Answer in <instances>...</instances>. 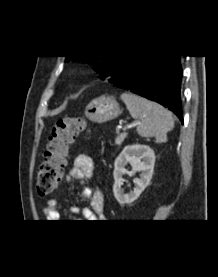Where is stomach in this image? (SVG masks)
I'll return each mask as SVG.
<instances>
[{
  "label": "stomach",
  "instance_id": "stomach-1",
  "mask_svg": "<svg viewBox=\"0 0 218 277\" xmlns=\"http://www.w3.org/2000/svg\"><path fill=\"white\" fill-rule=\"evenodd\" d=\"M121 113L115 98L101 96L92 100L85 109V116L96 123H103L117 118Z\"/></svg>",
  "mask_w": 218,
  "mask_h": 277
}]
</instances>
